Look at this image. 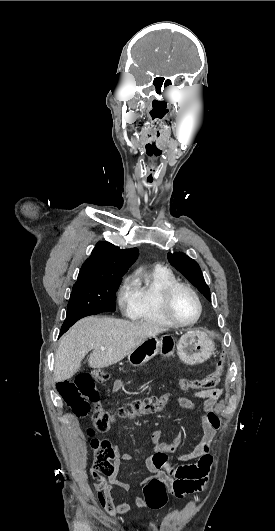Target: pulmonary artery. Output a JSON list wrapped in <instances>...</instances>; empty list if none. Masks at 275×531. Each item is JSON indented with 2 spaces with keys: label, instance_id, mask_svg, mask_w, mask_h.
<instances>
[{
  "label": "pulmonary artery",
  "instance_id": "1",
  "mask_svg": "<svg viewBox=\"0 0 275 531\" xmlns=\"http://www.w3.org/2000/svg\"><path fill=\"white\" fill-rule=\"evenodd\" d=\"M157 269L158 270H163L164 269V264L163 263H158L157 264Z\"/></svg>",
  "mask_w": 275,
  "mask_h": 531
}]
</instances>
